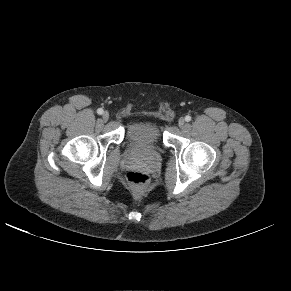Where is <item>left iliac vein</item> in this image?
<instances>
[{
	"label": "left iliac vein",
	"instance_id": "1",
	"mask_svg": "<svg viewBox=\"0 0 291 291\" xmlns=\"http://www.w3.org/2000/svg\"><path fill=\"white\" fill-rule=\"evenodd\" d=\"M178 125L180 128H184L185 126V119L184 118H180L178 121Z\"/></svg>",
	"mask_w": 291,
	"mask_h": 291
}]
</instances>
